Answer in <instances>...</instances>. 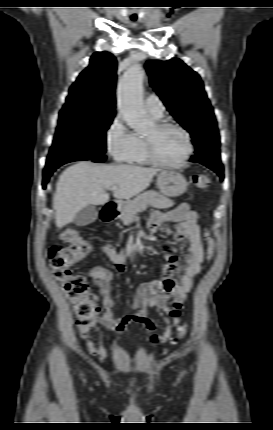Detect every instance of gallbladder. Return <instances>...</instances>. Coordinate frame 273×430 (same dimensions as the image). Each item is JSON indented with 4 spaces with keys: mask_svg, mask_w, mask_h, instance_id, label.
<instances>
[{
    "mask_svg": "<svg viewBox=\"0 0 273 430\" xmlns=\"http://www.w3.org/2000/svg\"><path fill=\"white\" fill-rule=\"evenodd\" d=\"M98 218V212L94 205H88L78 212L74 222L77 226H86Z\"/></svg>",
    "mask_w": 273,
    "mask_h": 430,
    "instance_id": "bac80fb5",
    "label": "gallbladder"
}]
</instances>
